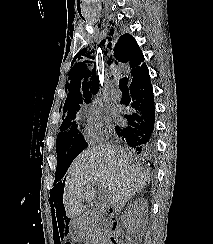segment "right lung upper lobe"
I'll use <instances>...</instances> for the list:
<instances>
[{
	"label": "right lung upper lobe",
	"mask_w": 213,
	"mask_h": 244,
	"mask_svg": "<svg viewBox=\"0 0 213 244\" xmlns=\"http://www.w3.org/2000/svg\"><path fill=\"white\" fill-rule=\"evenodd\" d=\"M115 63H129L132 81H135L147 66L143 62L144 56L134 37L130 34L120 36L114 48ZM92 59L93 57L88 56ZM96 66L92 60H82L74 65L69 72L70 84H68L67 99L63 111L82 103L91 102L99 89V81L96 76Z\"/></svg>",
	"instance_id": "cb5924a9"
}]
</instances>
